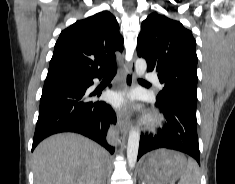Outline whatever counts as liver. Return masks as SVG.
Instances as JSON below:
<instances>
[{
    "label": "liver",
    "instance_id": "liver-1",
    "mask_svg": "<svg viewBox=\"0 0 235 184\" xmlns=\"http://www.w3.org/2000/svg\"><path fill=\"white\" fill-rule=\"evenodd\" d=\"M109 156L79 134H55L33 152L35 184H100Z\"/></svg>",
    "mask_w": 235,
    "mask_h": 184
}]
</instances>
